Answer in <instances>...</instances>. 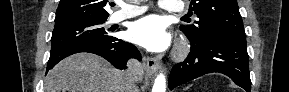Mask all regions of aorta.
I'll use <instances>...</instances> for the list:
<instances>
[{"mask_svg": "<svg viewBox=\"0 0 289 92\" xmlns=\"http://www.w3.org/2000/svg\"><path fill=\"white\" fill-rule=\"evenodd\" d=\"M152 92H166V77L162 72L157 75Z\"/></svg>", "mask_w": 289, "mask_h": 92, "instance_id": "1", "label": "aorta"}]
</instances>
